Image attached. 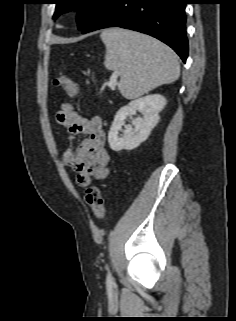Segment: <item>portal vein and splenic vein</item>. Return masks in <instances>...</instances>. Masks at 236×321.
<instances>
[{"label": "portal vein and splenic vein", "instance_id": "portal-vein-and-splenic-vein-1", "mask_svg": "<svg viewBox=\"0 0 236 321\" xmlns=\"http://www.w3.org/2000/svg\"><path fill=\"white\" fill-rule=\"evenodd\" d=\"M115 80H116V76H113L112 79H111V81L108 83V86H113Z\"/></svg>", "mask_w": 236, "mask_h": 321}]
</instances>
